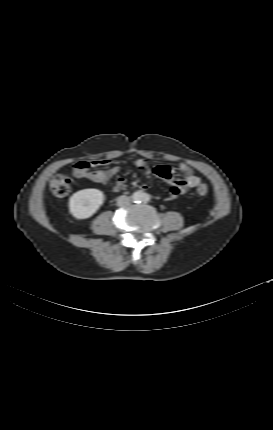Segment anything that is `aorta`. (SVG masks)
<instances>
[{
  "instance_id": "aorta-1",
  "label": "aorta",
  "mask_w": 273,
  "mask_h": 430,
  "mask_svg": "<svg viewBox=\"0 0 273 430\" xmlns=\"http://www.w3.org/2000/svg\"><path fill=\"white\" fill-rule=\"evenodd\" d=\"M132 198L136 202H141V201H145L147 199V196L142 191H136L133 193Z\"/></svg>"
}]
</instances>
